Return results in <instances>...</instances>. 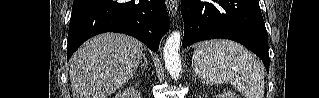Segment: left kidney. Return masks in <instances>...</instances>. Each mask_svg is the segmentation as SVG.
Returning a JSON list of instances; mask_svg holds the SVG:
<instances>
[{"label":"left kidney","instance_id":"left-kidney-1","mask_svg":"<svg viewBox=\"0 0 319 98\" xmlns=\"http://www.w3.org/2000/svg\"><path fill=\"white\" fill-rule=\"evenodd\" d=\"M213 98H238V96L233 92H223L222 94H217Z\"/></svg>","mask_w":319,"mask_h":98}]
</instances>
